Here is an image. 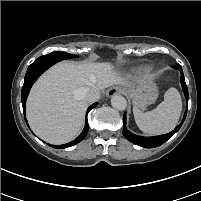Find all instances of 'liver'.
Listing matches in <instances>:
<instances>
[{"mask_svg": "<svg viewBox=\"0 0 201 201\" xmlns=\"http://www.w3.org/2000/svg\"><path fill=\"white\" fill-rule=\"evenodd\" d=\"M127 81L109 62H60L46 71L33 85L26 115L33 132L51 144L73 140L82 130L88 101L84 89L100 92Z\"/></svg>", "mask_w": 201, "mask_h": 201, "instance_id": "6515ba94", "label": "liver"}]
</instances>
